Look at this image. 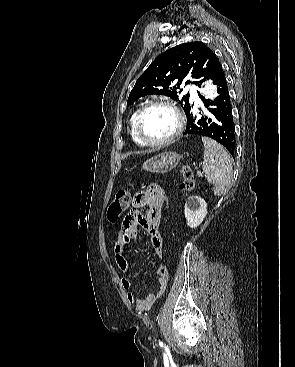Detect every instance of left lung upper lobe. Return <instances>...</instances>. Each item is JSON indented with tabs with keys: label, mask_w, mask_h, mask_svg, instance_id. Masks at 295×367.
I'll return each mask as SVG.
<instances>
[{
	"label": "left lung upper lobe",
	"mask_w": 295,
	"mask_h": 367,
	"mask_svg": "<svg viewBox=\"0 0 295 367\" xmlns=\"http://www.w3.org/2000/svg\"><path fill=\"white\" fill-rule=\"evenodd\" d=\"M218 62L215 53L203 42L175 46L160 54L138 78L127 105L146 95H165L178 101L186 114L191 107L189 94L179 96L182 92L180 85L191 83L201 87L210 79Z\"/></svg>",
	"instance_id": "left-lung-upper-lobe-1"
}]
</instances>
